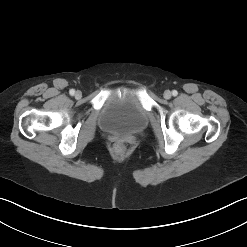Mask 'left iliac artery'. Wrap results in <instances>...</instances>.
Segmentation results:
<instances>
[{
  "instance_id": "obj_1",
  "label": "left iliac artery",
  "mask_w": 247,
  "mask_h": 247,
  "mask_svg": "<svg viewBox=\"0 0 247 247\" xmlns=\"http://www.w3.org/2000/svg\"><path fill=\"white\" fill-rule=\"evenodd\" d=\"M172 95H173V96H177V95H178V92H177L176 90H173V91H172Z\"/></svg>"
}]
</instances>
